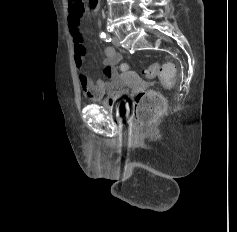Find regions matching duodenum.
Segmentation results:
<instances>
[{
    "label": "duodenum",
    "mask_w": 237,
    "mask_h": 232,
    "mask_svg": "<svg viewBox=\"0 0 237 232\" xmlns=\"http://www.w3.org/2000/svg\"><path fill=\"white\" fill-rule=\"evenodd\" d=\"M97 3H98V0H89V4H90V6H92V7H96V6H97Z\"/></svg>",
    "instance_id": "obj_1"
}]
</instances>
